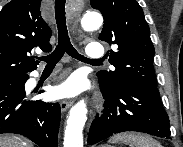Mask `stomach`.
<instances>
[{"mask_svg": "<svg viewBox=\"0 0 183 147\" xmlns=\"http://www.w3.org/2000/svg\"><path fill=\"white\" fill-rule=\"evenodd\" d=\"M101 147H111V146H109V145H102Z\"/></svg>", "mask_w": 183, "mask_h": 147, "instance_id": "obj_1", "label": "stomach"}]
</instances>
